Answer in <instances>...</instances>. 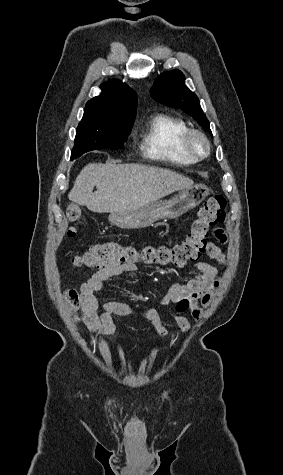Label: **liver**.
Instances as JSON below:
<instances>
[{"label": "liver", "mask_w": 283, "mask_h": 475, "mask_svg": "<svg viewBox=\"0 0 283 475\" xmlns=\"http://www.w3.org/2000/svg\"><path fill=\"white\" fill-rule=\"evenodd\" d=\"M193 184V180L172 170L145 164H88L77 176L68 198L99 214L126 212L192 188Z\"/></svg>", "instance_id": "6515ba94"}]
</instances>
